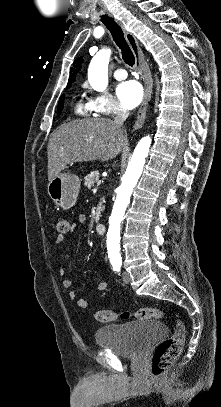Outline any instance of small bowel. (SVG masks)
I'll use <instances>...</instances> for the list:
<instances>
[{"label":"small bowel","mask_w":221,"mask_h":407,"mask_svg":"<svg viewBox=\"0 0 221 407\" xmlns=\"http://www.w3.org/2000/svg\"><path fill=\"white\" fill-rule=\"evenodd\" d=\"M85 222H86V217H85V215H79V216H78V219H77V223H76V225H74V226L72 227L71 232L75 231V229H76L78 226L84 225ZM65 239H66L65 236L59 235V236L56 238V241H55V242H56L57 245H60ZM59 275H60L61 277H63V276L65 275V270H64L63 267H61V268L59 269ZM62 287H63L64 289H67V290L70 289V288L72 287L71 281L68 280V279H63V280H62ZM107 287H108L107 282H100V283L98 284V286H97V289H98V291L102 292V291H105V290L107 289ZM68 297H69L71 300H76V304H77V306H78L80 309H86V308H87L88 302H87L85 299L77 298V293H76L75 291H70V292L68 293Z\"/></svg>","instance_id":"c3829d8e"}]
</instances>
